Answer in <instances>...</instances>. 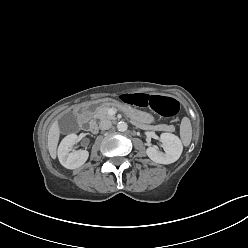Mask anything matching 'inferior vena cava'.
I'll use <instances>...</instances> for the list:
<instances>
[{"label": "inferior vena cava", "mask_w": 248, "mask_h": 248, "mask_svg": "<svg viewBox=\"0 0 248 248\" xmlns=\"http://www.w3.org/2000/svg\"><path fill=\"white\" fill-rule=\"evenodd\" d=\"M111 126H112V123H111L110 120H102V121H100V123H99V128H100L101 130H108V129L111 128Z\"/></svg>", "instance_id": "1"}]
</instances>
